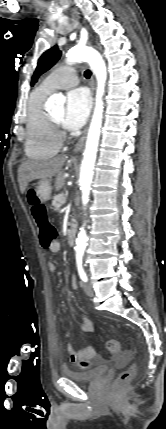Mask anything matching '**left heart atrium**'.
Returning a JSON list of instances; mask_svg holds the SVG:
<instances>
[{
  "label": "left heart atrium",
  "mask_w": 166,
  "mask_h": 429,
  "mask_svg": "<svg viewBox=\"0 0 166 429\" xmlns=\"http://www.w3.org/2000/svg\"><path fill=\"white\" fill-rule=\"evenodd\" d=\"M91 109V97L86 88L78 87L68 92L62 118L64 127L75 130L83 126Z\"/></svg>",
  "instance_id": "obj_1"
}]
</instances>
